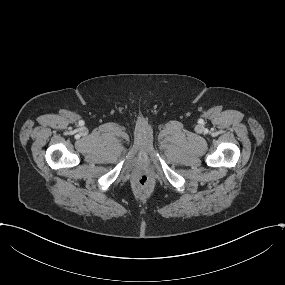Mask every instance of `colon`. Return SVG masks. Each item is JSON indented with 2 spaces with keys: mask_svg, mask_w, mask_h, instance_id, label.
Masks as SVG:
<instances>
[{
  "mask_svg": "<svg viewBox=\"0 0 285 285\" xmlns=\"http://www.w3.org/2000/svg\"><path fill=\"white\" fill-rule=\"evenodd\" d=\"M154 185V180L147 172H141L136 178V186L141 190H148Z\"/></svg>",
  "mask_w": 285,
  "mask_h": 285,
  "instance_id": "colon-1",
  "label": "colon"
}]
</instances>
